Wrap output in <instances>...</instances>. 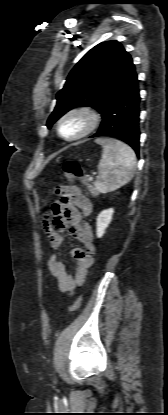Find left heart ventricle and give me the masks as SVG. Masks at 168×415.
I'll use <instances>...</instances> for the list:
<instances>
[{
	"instance_id": "b2bd125f",
	"label": "left heart ventricle",
	"mask_w": 168,
	"mask_h": 415,
	"mask_svg": "<svg viewBox=\"0 0 168 415\" xmlns=\"http://www.w3.org/2000/svg\"><path fill=\"white\" fill-rule=\"evenodd\" d=\"M87 125L86 118L82 115H72L66 118L61 125V132L65 137H73L81 133Z\"/></svg>"
}]
</instances>
